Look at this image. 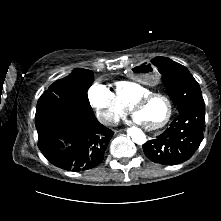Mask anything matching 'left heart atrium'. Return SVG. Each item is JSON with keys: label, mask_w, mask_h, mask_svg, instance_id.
Returning a JSON list of instances; mask_svg holds the SVG:
<instances>
[{"label": "left heart atrium", "mask_w": 221, "mask_h": 221, "mask_svg": "<svg viewBox=\"0 0 221 221\" xmlns=\"http://www.w3.org/2000/svg\"><path fill=\"white\" fill-rule=\"evenodd\" d=\"M135 120H136L137 122H141V120H140L138 117H135Z\"/></svg>", "instance_id": "obj_1"}]
</instances>
